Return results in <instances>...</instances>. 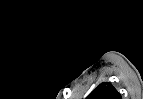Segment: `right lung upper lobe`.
Returning <instances> with one entry per match:
<instances>
[{"instance_id":"cb5924a9","label":"right lung upper lobe","mask_w":143,"mask_h":99,"mask_svg":"<svg viewBox=\"0 0 143 99\" xmlns=\"http://www.w3.org/2000/svg\"><path fill=\"white\" fill-rule=\"evenodd\" d=\"M87 99H121V95L111 83L103 82L89 94Z\"/></svg>"}]
</instances>
